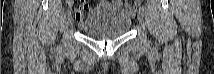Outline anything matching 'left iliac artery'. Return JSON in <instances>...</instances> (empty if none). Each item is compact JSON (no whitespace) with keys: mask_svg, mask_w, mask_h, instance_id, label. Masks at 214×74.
Wrapping results in <instances>:
<instances>
[{"mask_svg":"<svg viewBox=\"0 0 214 74\" xmlns=\"http://www.w3.org/2000/svg\"><path fill=\"white\" fill-rule=\"evenodd\" d=\"M139 11L145 12V8L143 6H140Z\"/></svg>","mask_w":214,"mask_h":74,"instance_id":"obj_1","label":"left iliac artery"}]
</instances>
